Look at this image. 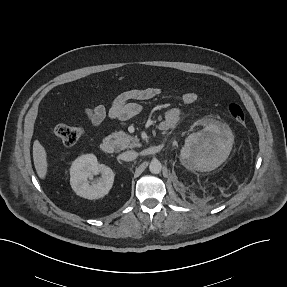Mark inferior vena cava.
Returning a JSON list of instances; mask_svg holds the SVG:
<instances>
[{"label": "inferior vena cava", "mask_w": 287, "mask_h": 287, "mask_svg": "<svg viewBox=\"0 0 287 287\" xmlns=\"http://www.w3.org/2000/svg\"><path fill=\"white\" fill-rule=\"evenodd\" d=\"M137 156L138 153L136 151H126L121 154V159L124 161H133Z\"/></svg>", "instance_id": "inferior-vena-cava-1"}]
</instances>
